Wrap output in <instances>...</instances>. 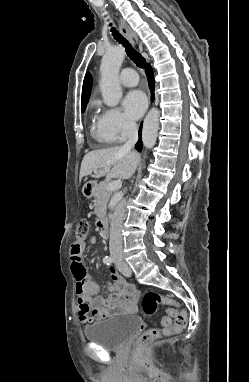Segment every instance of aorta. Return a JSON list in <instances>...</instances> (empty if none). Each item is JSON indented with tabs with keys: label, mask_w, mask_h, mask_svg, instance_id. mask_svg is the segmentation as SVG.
Masks as SVG:
<instances>
[{
	"label": "aorta",
	"mask_w": 249,
	"mask_h": 382,
	"mask_svg": "<svg viewBox=\"0 0 249 382\" xmlns=\"http://www.w3.org/2000/svg\"><path fill=\"white\" fill-rule=\"evenodd\" d=\"M124 57L125 49L122 46H114L106 51L101 61L100 89L104 103L110 107L118 105L122 97V90L119 84V70ZM159 117L160 111L157 108H152L144 119L142 142L148 149H151L156 143L159 129ZM122 196L123 194L121 192L114 195L110 202L111 209L116 206Z\"/></svg>",
	"instance_id": "762f6f07"
}]
</instances>
